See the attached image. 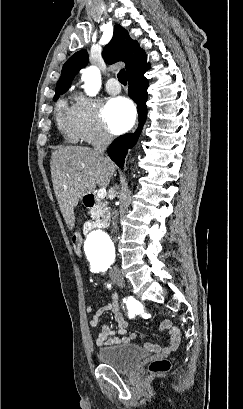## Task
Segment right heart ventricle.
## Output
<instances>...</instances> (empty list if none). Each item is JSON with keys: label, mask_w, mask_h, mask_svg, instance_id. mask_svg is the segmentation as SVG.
Wrapping results in <instances>:
<instances>
[{"label": "right heart ventricle", "mask_w": 243, "mask_h": 409, "mask_svg": "<svg viewBox=\"0 0 243 409\" xmlns=\"http://www.w3.org/2000/svg\"><path fill=\"white\" fill-rule=\"evenodd\" d=\"M56 121L59 130L66 138L71 141L78 140L73 126L72 106H69L66 100H61L57 105Z\"/></svg>", "instance_id": "right-heart-ventricle-1"}]
</instances>
